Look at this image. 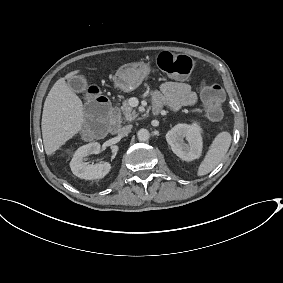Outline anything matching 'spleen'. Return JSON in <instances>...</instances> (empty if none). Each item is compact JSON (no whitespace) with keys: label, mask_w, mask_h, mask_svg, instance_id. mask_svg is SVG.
Masks as SVG:
<instances>
[{"label":"spleen","mask_w":283,"mask_h":283,"mask_svg":"<svg viewBox=\"0 0 283 283\" xmlns=\"http://www.w3.org/2000/svg\"><path fill=\"white\" fill-rule=\"evenodd\" d=\"M231 141L232 136L229 132L222 131L217 134L198 167L197 176L209 174L220 164L229 150Z\"/></svg>","instance_id":"3e777b00"}]
</instances>
